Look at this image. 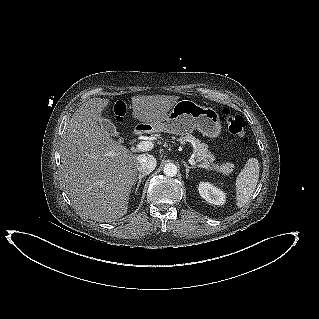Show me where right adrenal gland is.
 Returning <instances> with one entry per match:
<instances>
[{"label": "right adrenal gland", "instance_id": "right-adrenal-gland-1", "mask_svg": "<svg viewBox=\"0 0 319 319\" xmlns=\"http://www.w3.org/2000/svg\"><path fill=\"white\" fill-rule=\"evenodd\" d=\"M146 176V174H139L134 185H136V182H137V185H136V189H135V194H137L138 190H139V186L142 182V178H144Z\"/></svg>", "mask_w": 319, "mask_h": 319}]
</instances>
